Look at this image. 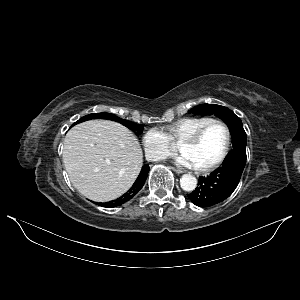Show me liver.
I'll return each instance as SVG.
<instances>
[{
    "mask_svg": "<svg viewBox=\"0 0 300 300\" xmlns=\"http://www.w3.org/2000/svg\"><path fill=\"white\" fill-rule=\"evenodd\" d=\"M63 163L73 186L85 197L107 202L127 192L143 165L135 135L109 120L74 126L64 139Z\"/></svg>",
    "mask_w": 300,
    "mask_h": 300,
    "instance_id": "6515ba94",
    "label": "liver"
}]
</instances>
